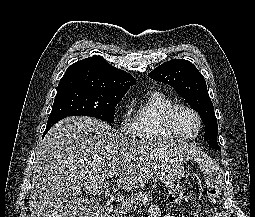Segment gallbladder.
Instances as JSON below:
<instances>
[{
    "label": "gallbladder",
    "instance_id": "1",
    "mask_svg": "<svg viewBox=\"0 0 255 217\" xmlns=\"http://www.w3.org/2000/svg\"><path fill=\"white\" fill-rule=\"evenodd\" d=\"M98 205V202L91 197H85L83 199L82 207L80 209L79 215L90 216L94 207Z\"/></svg>",
    "mask_w": 255,
    "mask_h": 217
}]
</instances>
